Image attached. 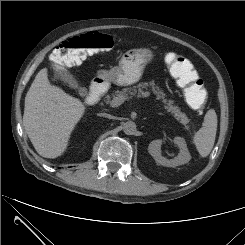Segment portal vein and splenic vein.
Segmentation results:
<instances>
[{
  "mask_svg": "<svg viewBox=\"0 0 245 245\" xmlns=\"http://www.w3.org/2000/svg\"><path fill=\"white\" fill-rule=\"evenodd\" d=\"M150 95L149 92H145L143 93V97H148ZM126 98L120 96V97H115L112 101H111V106L112 107H118L120 106L121 104H123L125 102Z\"/></svg>",
  "mask_w": 245,
  "mask_h": 245,
  "instance_id": "1",
  "label": "portal vein and splenic vein"
}]
</instances>
